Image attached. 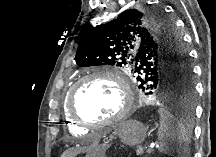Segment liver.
<instances>
[{
	"label": "liver",
	"instance_id": "6515ba94",
	"mask_svg": "<svg viewBox=\"0 0 216 157\" xmlns=\"http://www.w3.org/2000/svg\"><path fill=\"white\" fill-rule=\"evenodd\" d=\"M97 143H98V141L96 140L95 143L93 145H91L90 147L69 149L62 154V157H73L79 153L89 152L92 149V147Z\"/></svg>",
	"mask_w": 216,
	"mask_h": 157
}]
</instances>
